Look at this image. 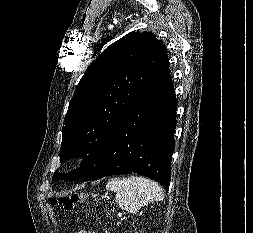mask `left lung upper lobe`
<instances>
[{"label": "left lung upper lobe", "instance_id": "obj_1", "mask_svg": "<svg viewBox=\"0 0 253 233\" xmlns=\"http://www.w3.org/2000/svg\"><path fill=\"white\" fill-rule=\"evenodd\" d=\"M168 67L166 47L153 33L133 31L107 47L78 83L62 127L61 162L85 161L70 173L56 171L53 179L87 176L117 126Z\"/></svg>", "mask_w": 253, "mask_h": 233}]
</instances>
